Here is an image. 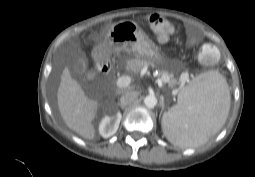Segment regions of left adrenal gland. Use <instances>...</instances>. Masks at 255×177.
Here are the masks:
<instances>
[{
	"label": "left adrenal gland",
	"mask_w": 255,
	"mask_h": 177,
	"mask_svg": "<svg viewBox=\"0 0 255 177\" xmlns=\"http://www.w3.org/2000/svg\"><path fill=\"white\" fill-rule=\"evenodd\" d=\"M164 110V103L162 104V110H161V112Z\"/></svg>",
	"instance_id": "obj_1"
}]
</instances>
